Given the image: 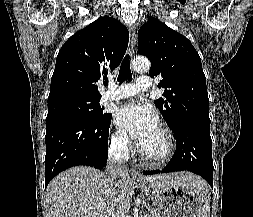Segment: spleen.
<instances>
[{"label": "spleen", "instance_id": "spleen-1", "mask_svg": "<svg viewBox=\"0 0 253 217\" xmlns=\"http://www.w3.org/2000/svg\"><path fill=\"white\" fill-rule=\"evenodd\" d=\"M205 204L202 206L201 217H210L209 198L204 193Z\"/></svg>", "mask_w": 253, "mask_h": 217}]
</instances>
